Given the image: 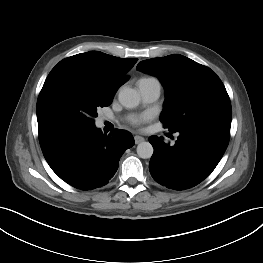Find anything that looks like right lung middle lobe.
I'll return each mask as SVG.
<instances>
[{
    "mask_svg": "<svg viewBox=\"0 0 263 263\" xmlns=\"http://www.w3.org/2000/svg\"><path fill=\"white\" fill-rule=\"evenodd\" d=\"M114 95L103 83L84 74L48 76L37 101L39 135L95 127L97 109L109 106Z\"/></svg>",
    "mask_w": 263,
    "mask_h": 263,
    "instance_id": "1",
    "label": "right lung middle lobe"
}]
</instances>
